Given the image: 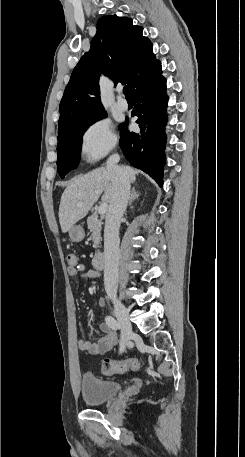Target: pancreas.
Masks as SVG:
<instances>
[{
    "label": "pancreas",
    "mask_w": 245,
    "mask_h": 457,
    "mask_svg": "<svg viewBox=\"0 0 245 457\" xmlns=\"http://www.w3.org/2000/svg\"><path fill=\"white\" fill-rule=\"evenodd\" d=\"M88 229H90V233L92 235L91 239L94 243V249H98L100 245L101 239V220H99L97 214L95 216H88L87 218Z\"/></svg>",
    "instance_id": "1"
}]
</instances>
